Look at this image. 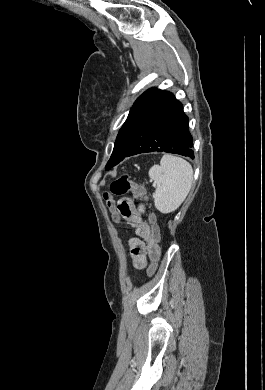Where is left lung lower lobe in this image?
I'll return each mask as SVG.
<instances>
[{
	"mask_svg": "<svg viewBox=\"0 0 265 390\" xmlns=\"http://www.w3.org/2000/svg\"><path fill=\"white\" fill-rule=\"evenodd\" d=\"M192 146L182 104L171 92L158 90L141 110L116 165L126 157L148 152H167L194 159Z\"/></svg>",
	"mask_w": 265,
	"mask_h": 390,
	"instance_id": "1",
	"label": "left lung lower lobe"
}]
</instances>
